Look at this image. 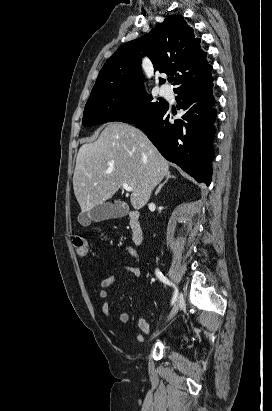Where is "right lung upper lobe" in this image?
<instances>
[{
  "instance_id": "cb5924a9",
  "label": "right lung upper lobe",
  "mask_w": 272,
  "mask_h": 411,
  "mask_svg": "<svg viewBox=\"0 0 272 411\" xmlns=\"http://www.w3.org/2000/svg\"><path fill=\"white\" fill-rule=\"evenodd\" d=\"M147 55L160 73L176 74L175 85L198 84L210 77L212 67L200 49V39L181 16H172L143 37L121 46L104 64L92 89L115 85L143 86L142 57ZM165 80L160 78V83Z\"/></svg>"
}]
</instances>
